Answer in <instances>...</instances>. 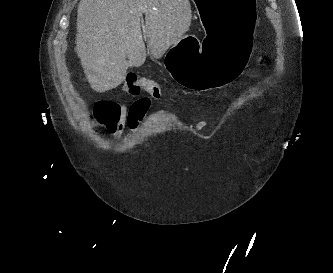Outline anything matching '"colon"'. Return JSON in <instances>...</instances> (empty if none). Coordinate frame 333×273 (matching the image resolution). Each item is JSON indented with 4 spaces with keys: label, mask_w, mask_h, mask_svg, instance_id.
Wrapping results in <instances>:
<instances>
[{
    "label": "colon",
    "mask_w": 333,
    "mask_h": 273,
    "mask_svg": "<svg viewBox=\"0 0 333 273\" xmlns=\"http://www.w3.org/2000/svg\"><path fill=\"white\" fill-rule=\"evenodd\" d=\"M123 91L130 95H138L141 91L147 92L153 98H160L164 94L162 86L155 80L140 78L129 73L123 84ZM120 118V106L112 101H99L94 108V122L114 130Z\"/></svg>",
    "instance_id": "colon-1"
}]
</instances>
